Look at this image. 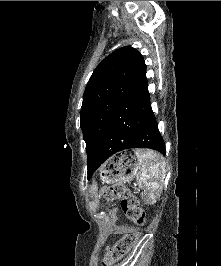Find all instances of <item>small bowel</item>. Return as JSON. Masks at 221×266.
<instances>
[{
    "label": "small bowel",
    "instance_id": "c3829d8e",
    "mask_svg": "<svg viewBox=\"0 0 221 266\" xmlns=\"http://www.w3.org/2000/svg\"><path fill=\"white\" fill-rule=\"evenodd\" d=\"M119 231L120 232H128V231H131V229L129 227H120Z\"/></svg>",
    "mask_w": 221,
    "mask_h": 266
}]
</instances>
